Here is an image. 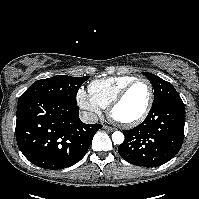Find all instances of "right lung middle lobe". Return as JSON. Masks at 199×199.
I'll use <instances>...</instances> for the list:
<instances>
[{"mask_svg":"<svg viewBox=\"0 0 199 199\" xmlns=\"http://www.w3.org/2000/svg\"><path fill=\"white\" fill-rule=\"evenodd\" d=\"M88 78L89 77L57 75L51 78L38 80L19 97L18 101L34 96H44L76 105L77 92Z\"/></svg>","mask_w":199,"mask_h":199,"instance_id":"dd1d6c3e","label":"right lung middle lobe"}]
</instances>
